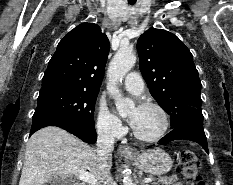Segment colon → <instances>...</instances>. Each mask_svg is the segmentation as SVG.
I'll return each instance as SVG.
<instances>
[{
  "mask_svg": "<svg viewBox=\"0 0 233 185\" xmlns=\"http://www.w3.org/2000/svg\"><path fill=\"white\" fill-rule=\"evenodd\" d=\"M177 170L191 185H205L198 174L197 156L191 149H185L181 152Z\"/></svg>",
  "mask_w": 233,
  "mask_h": 185,
  "instance_id": "1",
  "label": "colon"
}]
</instances>
